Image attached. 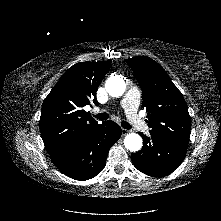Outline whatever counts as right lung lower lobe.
I'll return each mask as SVG.
<instances>
[{"label":"right lung lower lobe","mask_w":221,"mask_h":221,"mask_svg":"<svg viewBox=\"0 0 221 221\" xmlns=\"http://www.w3.org/2000/svg\"><path fill=\"white\" fill-rule=\"evenodd\" d=\"M122 130L108 120L85 133L63 153L51 157L54 165L75 180L95 177L105 166L110 147L120 138Z\"/></svg>","instance_id":"right-lung-lower-lobe-1"}]
</instances>
